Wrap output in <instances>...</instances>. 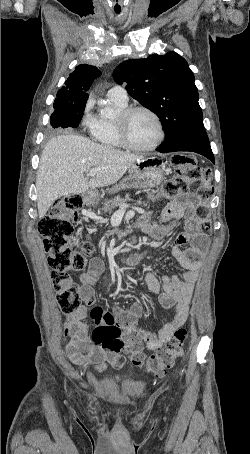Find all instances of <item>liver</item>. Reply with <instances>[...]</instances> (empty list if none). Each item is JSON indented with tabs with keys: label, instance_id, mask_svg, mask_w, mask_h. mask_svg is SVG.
Masks as SVG:
<instances>
[{
	"label": "liver",
	"instance_id": "6515ba94",
	"mask_svg": "<svg viewBox=\"0 0 250 454\" xmlns=\"http://www.w3.org/2000/svg\"><path fill=\"white\" fill-rule=\"evenodd\" d=\"M143 157L94 143L80 135H58L43 149L37 171L36 189L39 218L59 197L85 194L88 189L119 181L133 163ZM98 169L87 180L84 173Z\"/></svg>",
	"mask_w": 250,
	"mask_h": 454
}]
</instances>
